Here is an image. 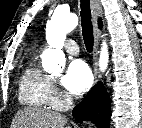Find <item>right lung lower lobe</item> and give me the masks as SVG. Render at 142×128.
Returning <instances> with one entry per match:
<instances>
[{
    "mask_svg": "<svg viewBox=\"0 0 142 128\" xmlns=\"http://www.w3.org/2000/svg\"><path fill=\"white\" fill-rule=\"evenodd\" d=\"M111 102L109 94L102 83L95 85L74 108L73 117L81 123L84 120H91L98 128H109V114Z\"/></svg>",
    "mask_w": 142,
    "mask_h": 128,
    "instance_id": "right-lung-lower-lobe-1",
    "label": "right lung lower lobe"
}]
</instances>
